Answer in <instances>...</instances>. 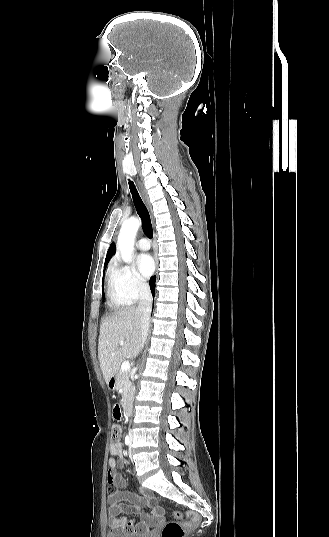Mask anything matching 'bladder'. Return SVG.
<instances>
[{"label":"bladder","mask_w":329,"mask_h":537,"mask_svg":"<svg viewBox=\"0 0 329 537\" xmlns=\"http://www.w3.org/2000/svg\"><path fill=\"white\" fill-rule=\"evenodd\" d=\"M106 537H153V535L150 534V533H142V534H138V535H132V534H127V533H124V532H121V531L111 530V531L107 532Z\"/></svg>","instance_id":"31cf9c89"}]
</instances>
